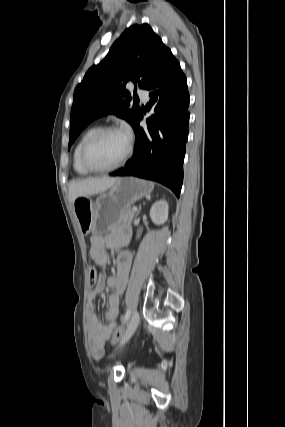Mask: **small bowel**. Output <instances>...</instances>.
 Here are the masks:
<instances>
[{"label": "small bowel", "instance_id": "1", "mask_svg": "<svg viewBox=\"0 0 285 427\" xmlns=\"http://www.w3.org/2000/svg\"><path fill=\"white\" fill-rule=\"evenodd\" d=\"M128 231L123 229L118 233L102 236L95 234L90 239V254L93 260L100 266L107 263L106 249H116L128 238ZM132 256L129 252L124 251L117 258V274L105 278L100 274L96 280L95 286L88 293L89 309V348L91 355L95 359H101L104 356V345L112 334L116 326V320L119 315L120 296L126 286ZM105 285L111 288V294L107 300L106 322L101 321L95 310L93 301L102 292Z\"/></svg>", "mask_w": 285, "mask_h": 427}]
</instances>
